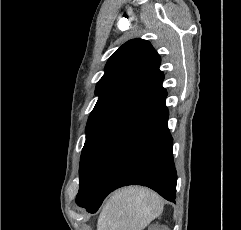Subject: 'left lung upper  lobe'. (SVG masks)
<instances>
[{
	"label": "left lung upper lobe",
	"instance_id": "1",
	"mask_svg": "<svg viewBox=\"0 0 241 230\" xmlns=\"http://www.w3.org/2000/svg\"><path fill=\"white\" fill-rule=\"evenodd\" d=\"M160 56L143 39L122 45L107 61L105 73L96 86L99 99L86 127V142L80 160L79 200L87 168L100 148L164 89Z\"/></svg>",
	"mask_w": 241,
	"mask_h": 230
}]
</instances>
